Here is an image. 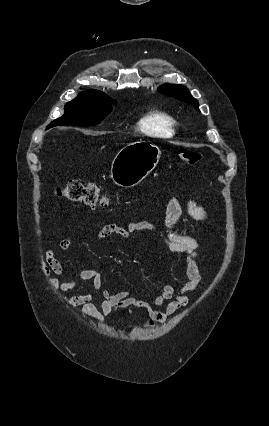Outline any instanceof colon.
I'll use <instances>...</instances> for the list:
<instances>
[{
    "label": "colon",
    "instance_id": "colon-1",
    "mask_svg": "<svg viewBox=\"0 0 269 426\" xmlns=\"http://www.w3.org/2000/svg\"><path fill=\"white\" fill-rule=\"evenodd\" d=\"M177 155L185 165L194 166L200 160L199 152L191 149H179ZM58 195L71 202H78L90 207L104 206L101 188L94 182L70 180L57 191Z\"/></svg>",
    "mask_w": 269,
    "mask_h": 426
}]
</instances>
